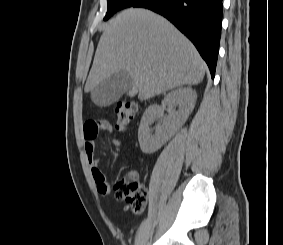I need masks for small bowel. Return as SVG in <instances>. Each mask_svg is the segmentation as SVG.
<instances>
[{
  "mask_svg": "<svg viewBox=\"0 0 283 245\" xmlns=\"http://www.w3.org/2000/svg\"><path fill=\"white\" fill-rule=\"evenodd\" d=\"M100 131L109 133L112 131V127L104 120H89L83 126L85 151L97 191L102 195H108L110 193V185L99 167L98 158L95 156L96 137ZM113 143L116 146H121L123 141L120 138H114Z\"/></svg>",
  "mask_w": 283,
  "mask_h": 245,
  "instance_id": "c3829d8e",
  "label": "small bowel"
}]
</instances>
